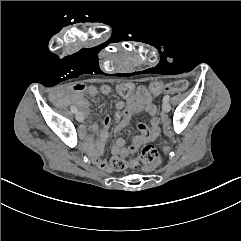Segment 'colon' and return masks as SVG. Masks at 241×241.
Wrapping results in <instances>:
<instances>
[{
    "mask_svg": "<svg viewBox=\"0 0 241 241\" xmlns=\"http://www.w3.org/2000/svg\"><path fill=\"white\" fill-rule=\"evenodd\" d=\"M164 91L167 94L173 93V94H179L183 91H185L188 87V84L185 80L180 79L177 82H167L164 84ZM114 91L116 93H123L124 97L129 98L131 97L134 86L131 84V81L129 79H124L122 81V84H116L114 86ZM149 91L152 94H157L160 91V85L157 82H152L149 85ZM165 151H170L172 146L170 143H165L163 146ZM161 157L157 149L151 145L147 144L144 145L141 149L139 155L129 161L120 159V158H112L110 166L116 168V169H125L127 167L130 168H137L140 164H145L143 166V171L145 173H151L152 171L156 170L157 167L161 165Z\"/></svg>",
    "mask_w": 241,
    "mask_h": 241,
    "instance_id": "5ec220e1",
    "label": "colon"
}]
</instances>
